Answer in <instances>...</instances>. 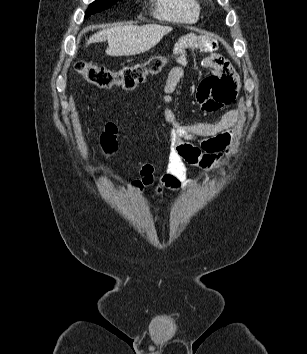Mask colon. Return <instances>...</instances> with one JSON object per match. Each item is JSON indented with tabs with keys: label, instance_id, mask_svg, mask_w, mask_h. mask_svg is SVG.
Returning <instances> with one entry per match:
<instances>
[{
	"label": "colon",
	"instance_id": "obj_1",
	"mask_svg": "<svg viewBox=\"0 0 307 354\" xmlns=\"http://www.w3.org/2000/svg\"><path fill=\"white\" fill-rule=\"evenodd\" d=\"M177 55L169 57L165 55H153L147 60L111 69L93 64L86 60H80L75 64L76 71L91 85L107 89L120 86L123 89H134L147 76L160 73L164 67ZM110 145H114L110 141Z\"/></svg>",
	"mask_w": 307,
	"mask_h": 354
}]
</instances>
